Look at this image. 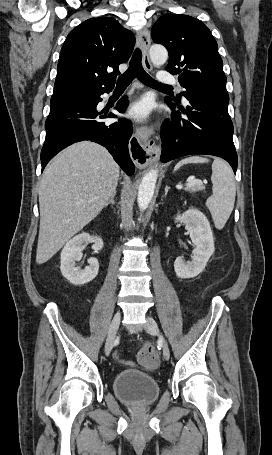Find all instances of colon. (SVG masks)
I'll return each instance as SVG.
<instances>
[{
  "instance_id": "5ec220e1",
  "label": "colon",
  "mask_w": 272,
  "mask_h": 455,
  "mask_svg": "<svg viewBox=\"0 0 272 455\" xmlns=\"http://www.w3.org/2000/svg\"><path fill=\"white\" fill-rule=\"evenodd\" d=\"M138 362L144 367H154L158 363V355L151 345H144L138 352Z\"/></svg>"
}]
</instances>
